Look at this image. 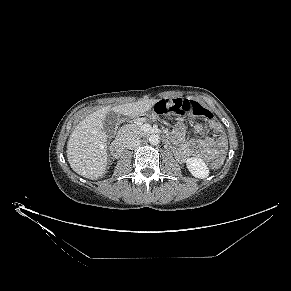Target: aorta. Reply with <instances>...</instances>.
<instances>
[{
	"label": "aorta",
	"instance_id": "762f6f07",
	"mask_svg": "<svg viewBox=\"0 0 291 291\" xmlns=\"http://www.w3.org/2000/svg\"><path fill=\"white\" fill-rule=\"evenodd\" d=\"M160 142V137L157 134H152L149 137V143L151 145H157Z\"/></svg>",
	"mask_w": 291,
	"mask_h": 291
}]
</instances>
